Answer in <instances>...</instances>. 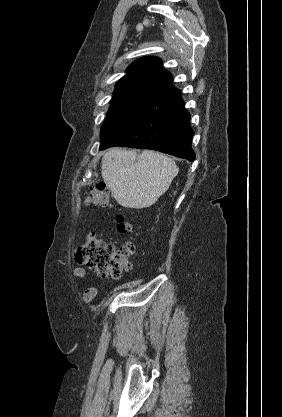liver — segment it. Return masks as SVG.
Listing matches in <instances>:
<instances>
[{"instance_id":"liver-1","label":"liver","mask_w":282,"mask_h":417,"mask_svg":"<svg viewBox=\"0 0 282 417\" xmlns=\"http://www.w3.org/2000/svg\"><path fill=\"white\" fill-rule=\"evenodd\" d=\"M110 148L102 158V178L115 200L127 209H144L169 188L179 168L174 160L154 150Z\"/></svg>"}]
</instances>
